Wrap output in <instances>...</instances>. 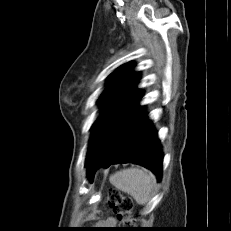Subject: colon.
Returning a JSON list of instances; mask_svg holds the SVG:
<instances>
[{"label":"colon","mask_w":231,"mask_h":231,"mask_svg":"<svg viewBox=\"0 0 231 231\" xmlns=\"http://www.w3.org/2000/svg\"><path fill=\"white\" fill-rule=\"evenodd\" d=\"M106 202L122 224L130 225L133 223V202L130 198L124 196L119 190L112 188L107 192Z\"/></svg>","instance_id":"obj_1"}]
</instances>
